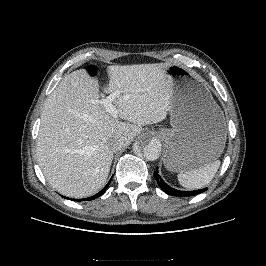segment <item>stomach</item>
Returning a JSON list of instances; mask_svg holds the SVG:
<instances>
[{"label":"stomach","mask_w":266,"mask_h":266,"mask_svg":"<svg viewBox=\"0 0 266 266\" xmlns=\"http://www.w3.org/2000/svg\"><path fill=\"white\" fill-rule=\"evenodd\" d=\"M171 129H160L165 142L164 165L185 172L214 162L226 141V121L203 80L178 64H170Z\"/></svg>","instance_id":"0dacf381"}]
</instances>
